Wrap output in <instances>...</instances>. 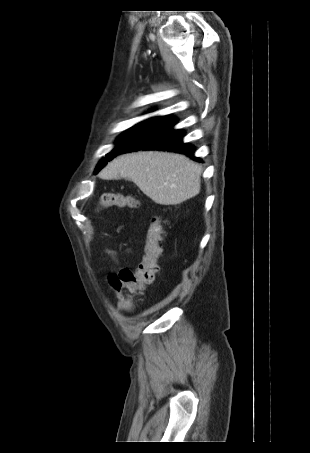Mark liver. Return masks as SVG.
<instances>
[{
    "label": "liver",
    "mask_w": 310,
    "mask_h": 453,
    "mask_svg": "<svg viewBox=\"0 0 310 453\" xmlns=\"http://www.w3.org/2000/svg\"><path fill=\"white\" fill-rule=\"evenodd\" d=\"M202 168L184 155L142 151L124 154L110 162L99 177L120 175L132 180L155 203L177 205L199 194Z\"/></svg>",
    "instance_id": "obj_1"
}]
</instances>
